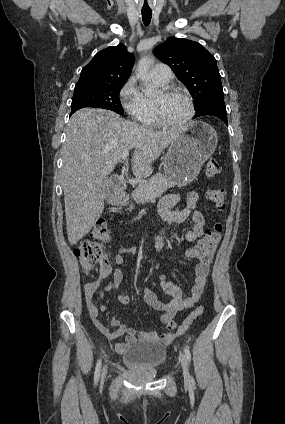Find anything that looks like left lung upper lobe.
Wrapping results in <instances>:
<instances>
[{"mask_svg": "<svg viewBox=\"0 0 285 424\" xmlns=\"http://www.w3.org/2000/svg\"><path fill=\"white\" fill-rule=\"evenodd\" d=\"M154 55L170 66L194 99L195 110L212 99L224 98L216 59L201 44L170 38L157 46Z\"/></svg>", "mask_w": 285, "mask_h": 424, "instance_id": "1", "label": "left lung upper lobe"}]
</instances>
